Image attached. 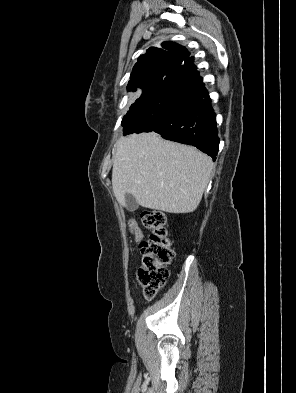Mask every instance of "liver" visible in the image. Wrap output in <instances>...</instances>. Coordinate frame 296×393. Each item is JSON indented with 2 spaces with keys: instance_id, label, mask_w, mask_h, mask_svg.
<instances>
[{
  "instance_id": "obj_1",
  "label": "liver",
  "mask_w": 296,
  "mask_h": 393,
  "mask_svg": "<svg viewBox=\"0 0 296 393\" xmlns=\"http://www.w3.org/2000/svg\"><path fill=\"white\" fill-rule=\"evenodd\" d=\"M213 167L211 158L194 147L156 133L133 134L116 143L113 193L125 207L130 193L144 208L190 213L199 205Z\"/></svg>"
}]
</instances>
